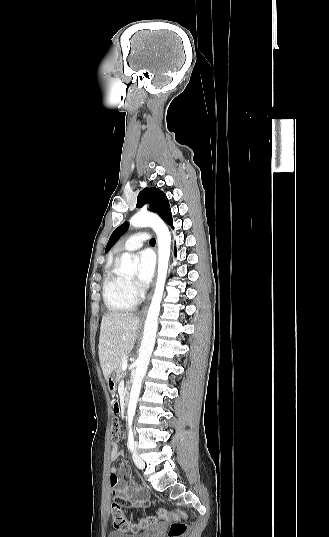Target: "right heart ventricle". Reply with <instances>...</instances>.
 <instances>
[{
    "mask_svg": "<svg viewBox=\"0 0 329 537\" xmlns=\"http://www.w3.org/2000/svg\"><path fill=\"white\" fill-rule=\"evenodd\" d=\"M102 290L104 302L111 313L128 311L136 304L125 277L113 262L106 265Z\"/></svg>",
    "mask_w": 329,
    "mask_h": 537,
    "instance_id": "1",
    "label": "right heart ventricle"
}]
</instances>
